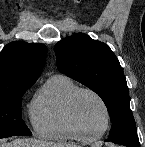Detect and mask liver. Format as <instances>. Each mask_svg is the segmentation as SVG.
Listing matches in <instances>:
<instances>
[{
  "label": "liver",
  "instance_id": "6515ba94",
  "mask_svg": "<svg viewBox=\"0 0 145 147\" xmlns=\"http://www.w3.org/2000/svg\"><path fill=\"white\" fill-rule=\"evenodd\" d=\"M0 147H79L76 144L53 143L36 139H15L10 143L0 144Z\"/></svg>",
  "mask_w": 145,
  "mask_h": 147
}]
</instances>
